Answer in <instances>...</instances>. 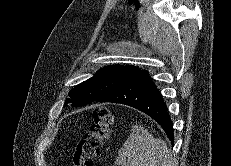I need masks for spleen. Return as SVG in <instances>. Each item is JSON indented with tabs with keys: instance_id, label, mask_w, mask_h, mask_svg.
<instances>
[{
	"instance_id": "3e777b00",
	"label": "spleen",
	"mask_w": 231,
	"mask_h": 166,
	"mask_svg": "<svg viewBox=\"0 0 231 166\" xmlns=\"http://www.w3.org/2000/svg\"><path fill=\"white\" fill-rule=\"evenodd\" d=\"M120 166H172L165 141L155 138L141 125H134L115 161Z\"/></svg>"
}]
</instances>
